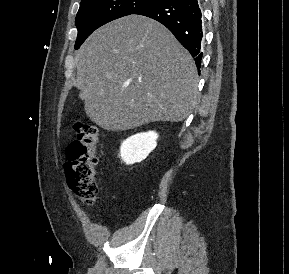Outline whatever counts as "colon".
I'll list each match as a JSON object with an SVG mask.
<instances>
[{
	"instance_id": "obj_1",
	"label": "colon",
	"mask_w": 289,
	"mask_h": 274,
	"mask_svg": "<svg viewBox=\"0 0 289 274\" xmlns=\"http://www.w3.org/2000/svg\"><path fill=\"white\" fill-rule=\"evenodd\" d=\"M77 136L66 149L65 171L68 183L77 197L85 204L92 205L98 196L96 150L99 130L93 124L77 123Z\"/></svg>"
}]
</instances>
